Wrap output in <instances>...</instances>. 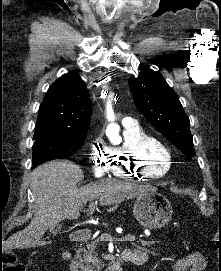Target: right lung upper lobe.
<instances>
[{
    "label": "right lung upper lobe",
    "instance_id": "cb5924a9",
    "mask_svg": "<svg viewBox=\"0 0 221 271\" xmlns=\"http://www.w3.org/2000/svg\"><path fill=\"white\" fill-rule=\"evenodd\" d=\"M91 100L78 73L58 78L40 105L35 133L77 135L90 126Z\"/></svg>",
    "mask_w": 221,
    "mask_h": 271
}]
</instances>
